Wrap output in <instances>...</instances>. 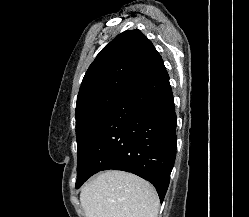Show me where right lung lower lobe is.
<instances>
[{
    "instance_id": "obj_1",
    "label": "right lung lower lobe",
    "mask_w": 249,
    "mask_h": 217,
    "mask_svg": "<svg viewBox=\"0 0 249 217\" xmlns=\"http://www.w3.org/2000/svg\"><path fill=\"white\" fill-rule=\"evenodd\" d=\"M176 113L169 75L160 61L125 92L96 130L79 165V188L108 169L151 182L162 202L176 156Z\"/></svg>"
}]
</instances>
